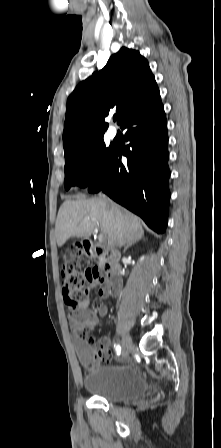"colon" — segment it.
<instances>
[{"mask_svg": "<svg viewBox=\"0 0 221 448\" xmlns=\"http://www.w3.org/2000/svg\"><path fill=\"white\" fill-rule=\"evenodd\" d=\"M62 291L65 303L76 307L87 294V285L102 280L103 273L96 266L84 267L80 248L62 253ZM104 342L100 347H104Z\"/></svg>", "mask_w": 221, "mask_h": 448, "instance_id": "obj_1", "label": "colon"}]
</instances>
